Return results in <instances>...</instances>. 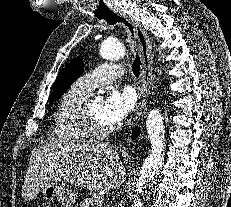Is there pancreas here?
Returning a JSON list of instances; mask_svg holds the SVG:
<instances>
[{"instance_id": "1", "label": "pancreas", "mask_w": 231, "mask_h": 207, "mask_svg": "<svg viewBox=\"0 0 231 207\" xmlns=\"http://www.w3.org/2000/svg\"><path fill=\"white\" fill-rule=\"evenodd\" d=\"M103 198L98 195L91 196L80 202V207H102Z\"/></svg>"}]
</instances>
